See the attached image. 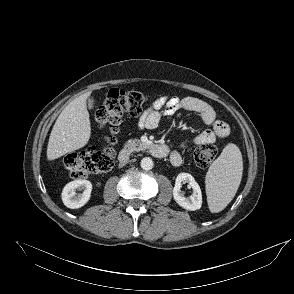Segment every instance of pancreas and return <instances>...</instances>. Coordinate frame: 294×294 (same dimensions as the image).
Listing matches in <instances>:
<instances>
[{
    "mask_svg": "<svg viewBox=\"0 0 294 294\" xmlns=\"http://www.w3.org/2000/svg\"><path fill=\"white\" fill-rule=\"evenodd\" d=\"M147 147V143H144L139 139H131L125 144V148L130 152L145 150Z\"/></svg>",
    "mask_w": 294,
    "mask_h": 294,
    "instance_id": "pancreas-1",
    "label": "pancreas"
}]
</instances>
